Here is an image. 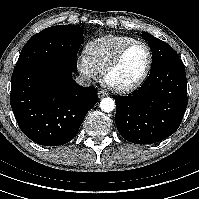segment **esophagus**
I'll return each mask as SVG.
<instances>
[{
  "instance_id": "1",
  "label": "esophagus",
  "mask_w": 199,
  "mask_h": 199,
  "mask_svg": "<svg viewBox=\"0 0 199 199\" xmlns=\"http://www.w3.org/2000/svg\"><path fill=\"white\" fill-rule=\"evenodd\" d=\"M108 94L105 92V91H103V90H99L98 91V97L99 98H104V97H106Z\"/></svg>"
}]
</instances>
